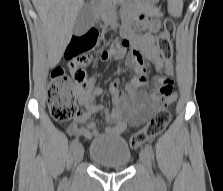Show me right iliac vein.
I'll return each mask as SVG.
<instances>
[{
    "mask_svg": "<svg viewBox=\"0 0 223 191\" xmlns=\"http://www.w3.org/2000/svg\"><path fill=\"white\" fill-rule=\"evenodd\" d=\"M83 154H84V148L81 144H78L73 152L74 164H77L82 159Z\"/></svg>",
    "mask_w": 223,
    "mask_h": 191,
    "instance_id": "right-iliac-vein-1",
    "label": "right iliac vein"
}]
</instances>
